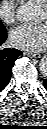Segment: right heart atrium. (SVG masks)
Returning a JSON list of instances; mask_svg holds the SVG:
<instances>
[{
  "mask_svg": "<svg viewBox=\"0 0 47 129\" xmlns=\"http://www.w3.org/2000/svg\"><path fill=\"white\" fill-rule=\"evenodd\" d=\"M17 0H2L0 2V18L7 24L17 20Z\"/></svg>",
  "mask_w": 47,
  "mask_h": 129,
  "instance_id": "1",
  "label": "right heart atrium"
}]
</instances>
